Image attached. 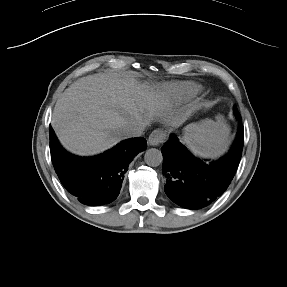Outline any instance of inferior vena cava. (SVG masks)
<instances>
[{
  "mask_svg": "<svg viewBox=\"0 0 287 287\" xmlns=\"http://www.w3.org/2000/svg\"><path fill=\"white\" fill-rule=\"evenodd\" d=\"M147 125L146 121H134L125 125L122 132L126 138L139 137L143 135Z\"/></svg>",
  "mask_w": 287,
  "mask_h": 287,
  "instance_id": "1",
  "label": "inferior vena cava"
}]
</instances>
